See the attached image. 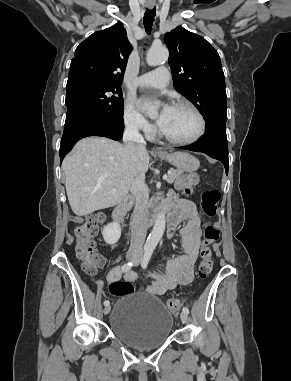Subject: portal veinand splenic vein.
<instances>
[{
	"label": "portal vein and splenic vein",
	"instance_id": "18ae733b",
	"mask_svg": "<svg viewBox=\"0 0 291 381\" xmlns=\"http://www.w3.org/2000/svg\"><path fill=\"white\" fill-rule=\"evenodd\" d=\"M167 178H168L167 175H164V176H163V179H164V180H167Z\"/></svg>",
	"mask_w": 291,
	"mask_h": 381
}]
</instances>
